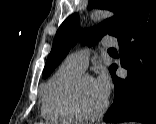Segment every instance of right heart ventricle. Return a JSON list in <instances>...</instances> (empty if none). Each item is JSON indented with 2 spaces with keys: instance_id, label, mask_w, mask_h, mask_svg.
<instances>
[{
  "instance_id": "1",
  "label": "right heart ventricle",
  "mask_w": 156,
  "mask_h": 124,
  "mask_svg": "<svg viewBox=\"0 0 156 124\" xmlns=\"http://www.w3.org/2000/svg\"><path fill=\"white\" fill-rule=\"evenodd\" d=\"M81 73L63 62L47 81L42 94L41 113L48 122L74 124L79 121L69 109L66 96L69 87Z\"/></svg>"
}]
</instances>
